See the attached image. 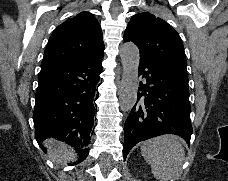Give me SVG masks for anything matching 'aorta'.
I'll return each instance as SVG.
<instances>
[{
    "label": "aorta",
    "instance_id": "1",
    "mask_svg": "<svg viewBox=\"0 0 228 181\" xmlns=\"http://www.w3.org/2000/svg\"><path fill=\"white\" fill-rule=\"evenodd\" d=\"M120 56L123 72L119 102L120 109L123 112H128L133 108L137 99L138 67L140 60L139 49L131 42L124 43L120 48Z\"/></svg>",
    "mask_w": 228,
    "mask_h": 181
}]
</instances>
